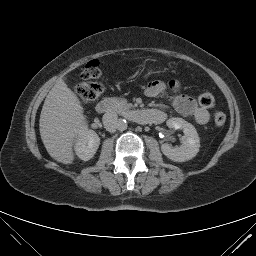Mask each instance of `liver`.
Instances as JSON below:
<instances>
[{
	"mask_svg": "<svg viewBox=\"0 0 256 256\" xmlns=\"http://www.w3.org/2000/svg\"><path fill=\"white\" fill-rule=\"evenodd\" d=\"M83 106L63 79L52 87L41 111L39 130L49 155L63 164L74 161L73 144L85 127Z\"/></svg>",
	"mask_w": 256,
	"mask_h": 256,
	"instance_id": "6515ba94",
	"label": "liver"
}]
</instances>
